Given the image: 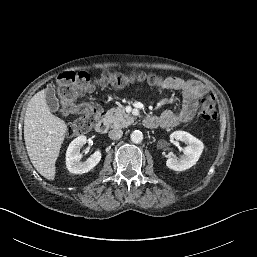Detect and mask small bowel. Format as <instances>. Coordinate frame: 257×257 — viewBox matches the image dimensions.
<instances>
[{"label": "small bowel", "instance_id": "small-bowel-1", "mask_svg": "<svg viewBox=\"0 0 257 257\" xmlns=\"http://www.w3.org/2000/svg\"><path fill=\"white\" fill-rule=\"evenodd\" d=\"M159 90H176L182 94V106L179 111H164L160 116H149L155 121V125L164 128L176 127L180 124L191 122L196 115L198 100L207 92L204 84L196 80H184L179 77H167L158 87Z\"/></svg>", "mask_w": 257, "mask_h": 257}]
</instances>
